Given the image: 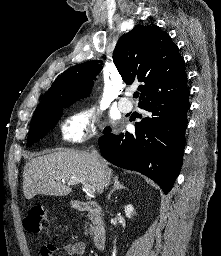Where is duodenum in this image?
I'll return each mask as SVG.
<instances>
[{"instance_id":"duodenum-1","label":"duodenum","mask_w":221,"mask_h":256,"mask_svg":"<svg viewBox=\"0 0 221 256\" xmlns=\"http://www.w3.org/2000/svg\"><path fill=\"white\" fill-rule=\"evenodd\" d=\"M75 208L81 212H87L93 222L92 236L97 249L102 250L106 245V226L103 220L102 209L94 201H77Z\"/></svg>"}]
</instances>
